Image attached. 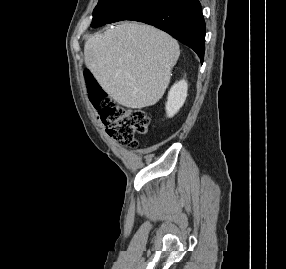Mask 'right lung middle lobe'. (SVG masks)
I'll return each mask as SVG.
<instances>
[{"instance_id": "1", "label": "right lung middle lobe", "mask_w": 286, "mask_h": 269, "mask_svg": "<svg viewBox=\"0 0 286 269\" xmlns=\"http://www.w3.org/2000/svg\"><path fill=\"white\" fill-rule=\"evenodd\" d=\"M157 0H99L93 11L92 27L127 20Z\"/></svg>"}]
</instances>
